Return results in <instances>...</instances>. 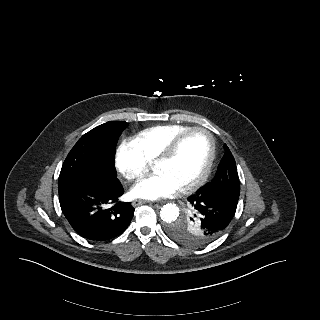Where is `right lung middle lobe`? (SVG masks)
Returning a JSON list of instances; mask_svg holds the SVG:
<instances>
[{
  "label": "right lung middle lobe",
  "instance_id": "obj_1",
  "mask_svg": "<svg viewBox=\"0 0 320 320\" xmlns=\"http://www.w3.org/2000/svg\"><path fill=\"white\" fill-rule=\"evenodd\" d=\"M127 126L125 121H110L84 134L62 165L58 188L90 178L117 180L115 149Z\"/></svg>",
  "mask_w": 320,
  "mask_h": 320
}]
</instances>
